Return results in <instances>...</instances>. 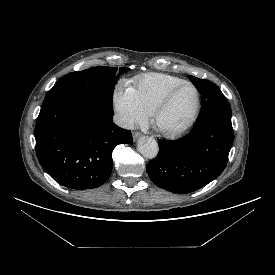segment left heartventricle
Instances as JSON below:
<instances>
[{
	"label": "left heart ventricle",
	"instance_id": "1",
	"mask_svg": "<svg viewBox=\"0 0 275 275\" xmlns=\"http://www.w3.org/2000/svg\"><path fill=\"white\" fill-rule=\"evenodd\" d=\"M195 106V91L190 86H182L174 93L167 107L158 115L156 126L164 131L181 128L192 117Z\"/></svg>",
	"mask_w": 275,
	"mask_h": 275
}]
</instances>
